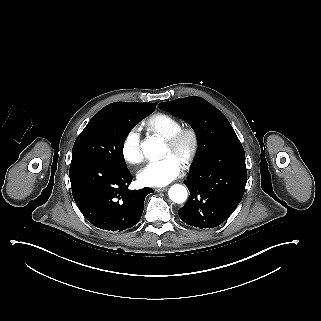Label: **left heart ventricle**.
I'll return each instance as SVG.
<instances>
[{"instance_id":"obj_1","label":"left heart ventricle","mask_w":321,"mask_h":321,"mask_svg":"<svg viewBox=\"0 0 321 321\" xmlns=\"http://www.w3.org/2000/svg\"><path fill=\"white\" fill-rule=\"evenodd\" d=\"M171 152V150H170V148L166 145V153L165 154H168V153H170ZM179 157V156H178ZM180 158V157H179Z\"/></svg>"}]
</instances>
